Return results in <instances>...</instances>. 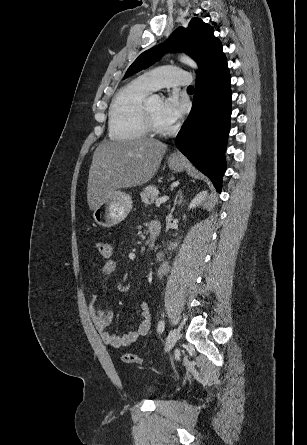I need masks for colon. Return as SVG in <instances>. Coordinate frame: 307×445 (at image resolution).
Returning a JSON list of instances; mask_svg holds the SVG:
<instances>
[{"mask_svg":"<svg viewBox=\"0 0 307 445\" xmlns=\"http://www.w3.org/2000/svg\"><path fill=\"white\" fill-rule=\"evenodd\" d=\"M96 248L98 250V253L101 257L104 259H108L112 255V244L109 241L106 240H98L96 241ZM122 361L125 363H136V364H150V361H147L137 355H134L129 352H125L122 355Z\"/></svg>","mask_w":307,"mask_h":445,"instance_id":"5ec220e1","label":"colon"}]
</instances>
